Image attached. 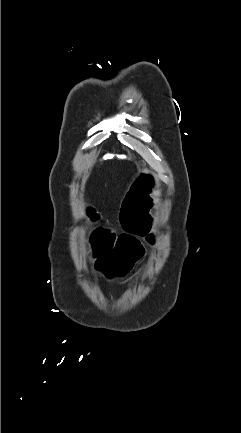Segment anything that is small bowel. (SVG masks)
<instances>
[{
    "instance_id": "1",
    "label": "small bowel",
    "mask_w": 241,
    "mask_h": 433,
    "mask_svg": "<svg viewBox=\"0 0 241 433\" xmlns=\"http://www.w3.org/2000/svg\"><path fill=\"white\" fill-rule=\"evenodd\" d=\"M141 172H152V171H150V170H144V171H141ZM155 176V175H154ZM156 177V176H155ZM137 178V177H136ZM138 179V178H137ZM153 181H156V182H158L159 183V181H158V179L157 180H153ZM160 192V187L158 188V189H156L155 190V192H154V194L155 195H157L158 193ZM137 239V238H136Z\"/></svg>"
}]
</instances>
